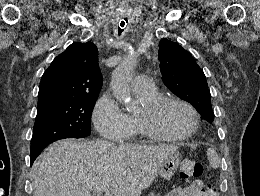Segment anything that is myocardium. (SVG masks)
<instances>
[{
	"mask_svg": "<svg viewBox=\"0 0 260 196\" xmlns=\"http://www.w3.org/2000/svg\"><path fill=\"white\" fill-rule=\"evenodd\" d=\"M171 103H177L185 106L187 109H189L194 117L193 128L182 136L167 135L154 126L153 121L156 115ZM137 119L139 127L142 129V131L146 135L159 141L184 143L189 141L200 128V116L196 108L189 102L176 96H162L149 103L144 104L143 112L137 113ZM96 192H101V190H96Z\"/></svg>",
	"mask_w": 260,
	"mask_h": 196,
	"instance_id": "f54148a6",
	"label": "myocardium"
}]
</instances>
